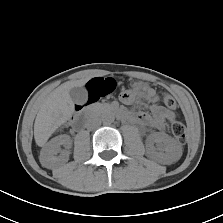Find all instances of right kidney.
I'll return each instance as SVG.
<instances>
[{
	"label": "right kidney",
	"mask_w": 223,
	"mask_h": 223,
	"mask_svg": "<svg viewBox=\"0 0 223 223\" xmlns=\"http://www.w3.org/2000/svg\"><path fill=\"white\" fill-rule=\"evenodd\" d=\"M61 146H64L66 149L61 150ZM70 147L71 140L68 135L64 134L53 138L41 150L40 161L42 165L46 168H51L58 162H67L69 160ZM57 154L59 155L57 156Z\"/></svg>",
	"instance_id": "right-kidney-1"
}]
</instances>
